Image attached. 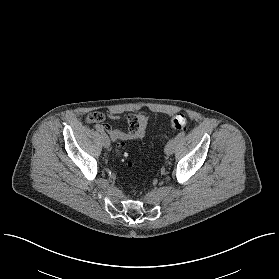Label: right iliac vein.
<instances>
[{
	"instance_id": "obj_1",
	"label": "right iliac vein",
	"mask_w": 279,
	"mask_h": 279,
	"mask_svg": "<svg viewBox=\"0 0 279 279\" xmlns=\"http://www.w3.org/2000/svg\"><path fill=\"white\" fill-rule=\"evenodd\" d=\"M102 142H103V146L105 148H109L110 147V140H109V137L107 135H103L102 136Z\"/></svg>"
}]
</instances>
